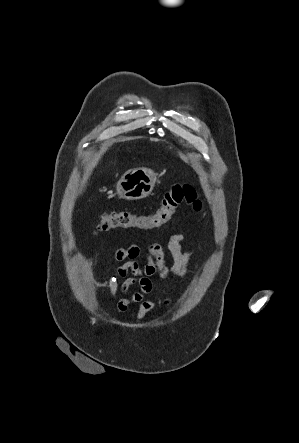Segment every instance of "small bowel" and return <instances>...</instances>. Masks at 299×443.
Instances as JSON below:
<instances>
[{
    "mask_svg": "<svg viewBox=\"0 0 299 443\" xmlns=\"http://www.w3.org/2000/svg\"><path fill=\"white\" fill-rule=\"evenodd\" d=\"M183 239L184 235L177 231H173L169 237L167 248L173 259L170 266L165 262L163 246L159 242H153L149 246L144 266H141L137 261L141 255V249L137 244H130L126 248L114 250V258L124 262L116 269L117 276L124 278V281L120 286H110L112 296L116 297L119 293L125 294L134 285L139 288L130 296L118 299L117 309L120 312H125L131 305L136 304L138 309L132 316L142 319L158 306L157 300L145 299V296L154 289L167 293V286L163 283L167 278L171 276L183 278L185 276L193 250H182ZM155 275L159 277L158 281L152 279ZM169 303L170 300L166 298L164 305Z\"/></svg>",
    "mask_w": 299,
    "mask_h": 443,
    "instance_id": "small-bowel-1",
    "label": "small bowel"
}]
</instances>
